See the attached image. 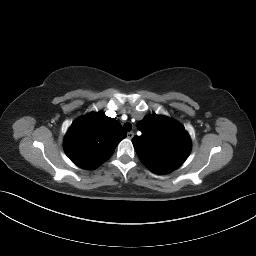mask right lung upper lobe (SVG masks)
<instances>
[{"mask_svg":"<svg viewBox=\"0 0 256 256\" xmlns=\"http://www.w3.org/2000/svg\"><path fill=\"white\" fill-rule=\"evenodd\" d=\"M126 135L115 119L103 112L90 113L72 123L64 139V150L79 167L95 169L110 158Z\"/></svg>","mask_w":256,"mask_h":256,"instance_id":"cb5924a9","label":"right lung upper lobe"}]
</instances>
